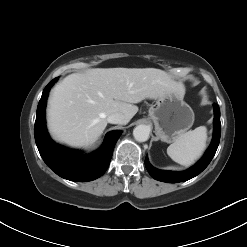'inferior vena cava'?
Listing matches in <instances>:
<instances>
[{"mask_svg": "<svg viewBox=\"0 0 247 247\" xmlns=\"http://www.w3.org/2000/svg\"><path fill=\"white\" fill-rule=\"evenodd\" d=\"M107 121L112 124H126L127 118L122 113H112L107 117Z\"/></svg>", "mask_w": 247, "mask_h": 247, "instance_id": "obj_1", "label": "inferior vena cava"}]
</instances>
